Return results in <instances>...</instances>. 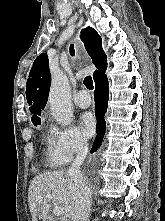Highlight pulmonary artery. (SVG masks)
Wrapping results in <instances>:
<instances>
[{"mask_svg":"<svg viewBox=\"0 0 165 221\" xmlns=\"http://www.w3.org/2000/svg\"><path fill=\"white\" fill-rule=\"evenodd\" d=\"M75 104L80 108H87L91 104L90 95L86 90H80L77 92L74 98Z\"/></svg>","mask_w":165,"mask_h":221,"instance_id":"1","label":"pulmonary artery"}]
</instances>
